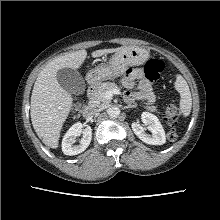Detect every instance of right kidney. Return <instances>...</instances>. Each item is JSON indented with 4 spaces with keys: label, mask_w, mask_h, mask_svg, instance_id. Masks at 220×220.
I'll return each instance as SVG.
<instances>
[{
    "label": "right kidney",
    "mask_w": 220,
    "mask_h": 220,
    "mask_svg": "<svg viewBox=\"0 0 220 220\" xmlns=\"http://www.w3.org/2000/svg\"><path fill=\"white\" fill-rule=\"evenodd\" d=\"M83 134V138L79 145H75L76 137ZM92 139V129L90 126L83 127L82 123L78 122L72 125L62 140V151L65 155L73 156L82 153L89 146Z\"/></svg>",
    "instance_id": "1"
}]
</instances>
